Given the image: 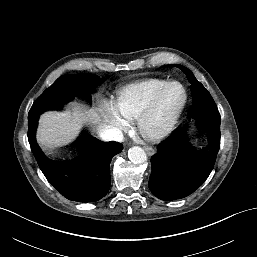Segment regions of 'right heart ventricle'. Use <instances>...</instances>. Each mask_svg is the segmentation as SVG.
Segmentation results:
<instances>
[{"label": "right heart ventricle", "mask_w": 257, "mask_h": 257, "mask_svg": "<svg viewBox=\"0 0 257 257\" xmlns=\"http://www.w3.org/2000/svg\"><path fill=\"white\" fill-rule=\"evenodd\" d=\"M166 82L165 79L157 77L134 81L118 91L115 105L125 118L133 119L137 117L156 90Z\"/></svg>", "instance_id": "obj_1"}]
</instances>
